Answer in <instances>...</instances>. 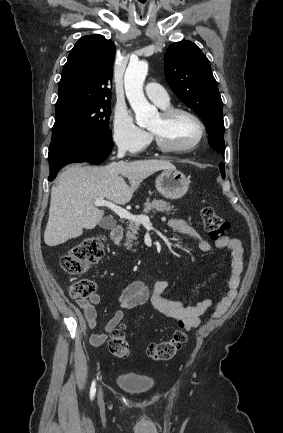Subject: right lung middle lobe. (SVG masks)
I'll return each instance as SVG.
<instances>
[{"label": "right lung middle lobe", "mask_w": 283, "mask_h": 433, "mask_svg": "<svg viewBox=\"0 0 283 433\" xmlns=\"http://www.w3.org/2000/svg\"><path fill=\"white\" fill-rule=\"evenodd\" d=\"M110 101L100 100L73 105L55 113L52 134L84 133L112 140L109 130Z\"/></svg>", "instance_id": "1"}]
</instances>
